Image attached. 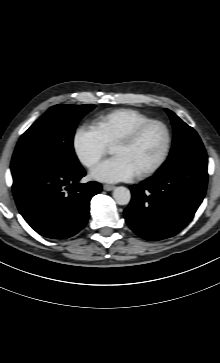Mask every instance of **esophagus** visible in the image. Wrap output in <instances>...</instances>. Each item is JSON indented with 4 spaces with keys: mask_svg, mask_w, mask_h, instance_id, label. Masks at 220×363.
Returning a JSON list of instances; mask_svg holds the SVG:
<instances>
[{
    "mask_svg": "<svg viewBox=\"0 0 220 363\" xmlns=\"http://www.w3.org/2000/svg\"><path fill=\"white\" fill-rule=\"evenodd\" d=\"M103 189L105 190V191H112V190H114L115 189V186H113V185H104L103 186Z\"/></svg>",
    "mask_w": 220,
    "mask_h": 363,
    "instance_id": "esophagus-1",
    "label": "esophagus"
}]
</instances>
